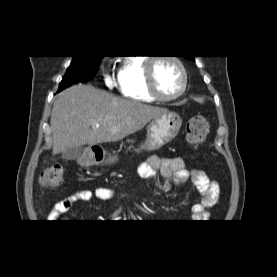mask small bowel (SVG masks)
<instances>
[{"mask_svg": "<svg viewBox=\"0 0 277 277\" xmlns=\"http://www.w3.org/2000/svg\"><path fill=\"white\" fill-rule=\"evenodd\" d=\"M137 173L140 177L151 180L162 190H169L173 184L178 186L191 180L202 195L201 201L192 207V216L195 220L207 219L210 216L209 211L218 203L220 197L218 183L209 179L200 169H188L185 160L181 157H151L138 167ZM160 177L162 182L159 180ZM114 197L115 192L104 187L76 190L55 203L47 220L58 222L57 220L66 215L78 202L92 199L106 201Z\"/></svg>", "mask_w": 277, "mask_h": 277, "instance_id": "small-bowel-1", "label": "small bowel"}]
</instances>
